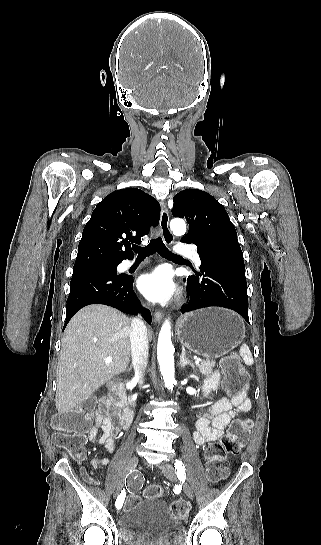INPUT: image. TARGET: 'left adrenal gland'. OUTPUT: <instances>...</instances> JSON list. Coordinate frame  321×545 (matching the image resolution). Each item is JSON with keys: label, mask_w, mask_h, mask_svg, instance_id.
<instances>
[{"label": "left adrenal gland", "mask_w": 321, "mask_h": 545, "mask_svg": "<svg viewBox=\"0 0 321 545\" xmlns=\"http://www.w3.org/2000/svg\"><path fill=\"white\" fill-rule=\"evenodd\" d=\"M186 355V351L185 349H182V353H181V357H180V367H182V369H184V367H186V365H190V367H192V369H194V363H191V361H188V359H186L185 357Z\"/></svg>", "instance_id": "obj_1"}]
</instances>
